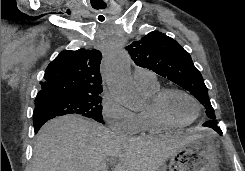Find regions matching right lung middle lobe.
Segmentation results:
<instances>
[{
  "mask_svg": "<svg viewBox=\"0 0 245 171\" xmlns=\"http://www.w3.org/2000/svg\"><path fill=\"white\" fill-rule=\"evenodd\" d=\"M102 97L98 95L47 97L36 107H43L55 116L81 114L104 124L101 105Z\"/></svg>",
  "mask_w": 245,
  "mask_h": 171,
  "instance_id": "1",
  "label": "right lung middle lobe"
}]
</instances>
